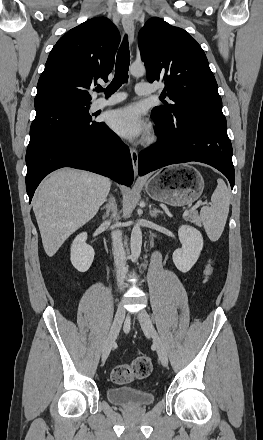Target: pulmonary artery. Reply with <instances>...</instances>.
Here are the masks:
<instances>
[{
    "label": "pulmonary artery",
    "mask_w": 263,
    "mask_h": 440,
    "mask_svg": "<svg viewBox=\"0 0 263 440\" xmlns=\"http://www.w3.org/2000/svg\"><path fill=\"white\" fill-rule=\"evenodd\" d=\"M155 88L149 86L147 83H138L135 86V92L137 95H147L155 92ZM126 98L124 93H117L108 98H98L92 103V109L98 110L110 105H114L120 101H123Z\"/></svg>",
    "instance_id": "e3ab8cb5"
}]
</instances>
